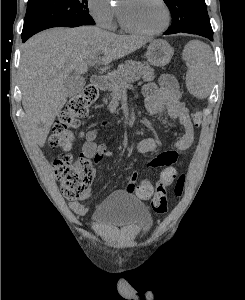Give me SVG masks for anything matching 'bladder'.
I'll return each instance as SVG.
<instances>
[{"label":"bladder","mask_w":245,"mask_h":300,"mask_svg":"<svg viewBox=\"0 0 245 300\" xmlns=\"http://www.w3.org/2000/svg\"><path fill=\"white\" fill-rule=\"evenodd\" d=\"M93 225L103 231L129 227L138 237L146 236L153 225L148 208L127 192H114L102 201L91 217Z\"/></svg>","instance_id":"31cf9c89"}]
</instances>
